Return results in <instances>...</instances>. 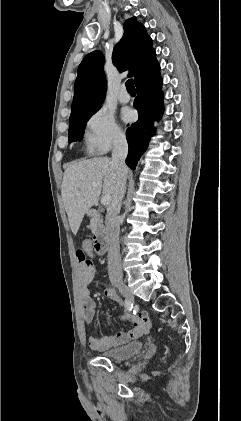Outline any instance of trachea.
I'll return each instance as SVG.
<instances>
[{
    "label": "trachea",
    "instance_id": "obj_1",
    "mask_svg": "<svg viewBox=\"0 0 241 421\" xmlns=\"http://www.w3.org/2000/svg\"><path fill=\"white\" fill-rule=\"evenodd\" d=\"M125 85L128 92H136L133 79L127 80Z\"/></svg>",
    "mask_w": 241,
    "mask_h": 421
}]
</instances>
